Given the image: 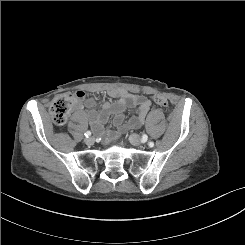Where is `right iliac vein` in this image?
I'll use <instances>...</instances> for the list:
<instances>
[{
	"label": "right iliac vein",
	"mask_w": 245,
	"mask_h": 245,
	"mask_svg": "<svg viewBox=\"0 0 245 245\" xmlns=\"http://www.w3.org/2000/svg\"><path fill=\"white\" fill-rule=\"evenodd\" d=\"M84 141H85V143L87 145H92L94 143V138L93 137H88Z\"/></svg>",
	"instance_id": "right-iliac-vein-1"
}]
</instances>
